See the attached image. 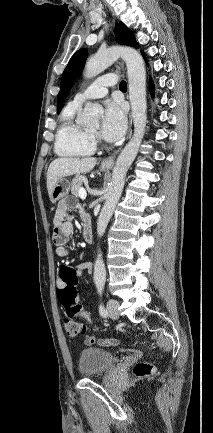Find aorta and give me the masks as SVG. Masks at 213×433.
I'll return each mask as SVG.
<instances>
[{
    "instance_id": "762f6f07",
    "label": "aorta",
    "mask_w": 213,
    "mask_h": 433,
    "mask_svg": "<svg viewBox=\"0 0 213 433\" xmlns=\"http://www.w3.org/2000/svg\"><path fill=\"white\" fill-rule=\"evenodd\" d=\"M122 57L127 66L129 98L132 109L134 134L117 158L109 185L107 198L97 221V234L101 237L108 225L114 209L121 197L126 173L134 161L141 145L146 126V70L142 56L130 47H111L99 51L89 58L85 65L84 76L94 77ZM101 108L87 103L81 118V124L90 125L97 122ZM106 281L105 264L102 254L98 253L94 265V283L103 288Z\"/></svg>"
}]
</instances>
